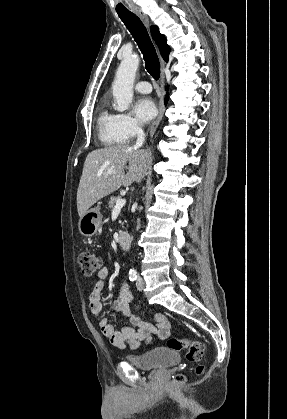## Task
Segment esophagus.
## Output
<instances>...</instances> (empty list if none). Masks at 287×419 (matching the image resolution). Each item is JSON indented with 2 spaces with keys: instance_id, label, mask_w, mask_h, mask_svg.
<instances>
[{
  "instance_id": "34e87169",
  "label": "esophagus",
  "mask_w": 287,
  "mask_h": 419,
  "mask_svg": "<svg viewBox=\"0 0 287 419\" xmlns=\"http://www.w3.org/2000/svg\"><path fill=\"white\" fill-rule=\"evenodd\" d=\"M136 15L141 19V21L147 26L149 27L150 23H149V18L148 16L142 12V11H136ZM164 66L165 63L164 61L161 59V79H160V99L158 102V116L156 117V119L154 120V122L151 125V129H150V136H152L159 124V122L161 121L163 114H164V104H163V96H164Z\"/></svg>"
}]
</instances>
